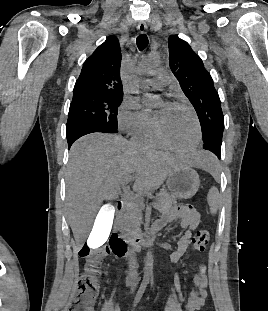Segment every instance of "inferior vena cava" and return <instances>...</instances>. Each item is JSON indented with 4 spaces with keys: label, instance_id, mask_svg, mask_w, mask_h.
<instances>
[{
    "label": "inferior vena cava",
    "instance_id": "obj_1",
    "mask_svg": "<svg viewBox=\"0 0 268 311\" xmlns=\"http://www.w3.org/2000/svg\"><path fill=\"white\" fill-rule=\"evenodd\" d=\"M136 264V258L134 255H130V259H129V265L132 266V265H135Z\"/></svg>",
    "mask_w": 268,
    "mask_h": 311
}]
</instances>
